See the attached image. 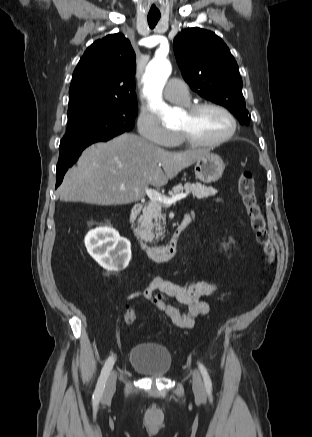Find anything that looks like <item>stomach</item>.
Returning <instances> with one entry per match:
<instances>
[{
  "mask_svg": "<svg viewBox=\"0 0 312 437\" xmlns=\"http://www.w3.org/2000/svg\"><path fill=\"white\" fill-rule=\"evenodd\" d=\"M225 165L222 158L215 153H205L194 166L195 176L204 183H211L222 177Z\"/></svg>",
  "mask_w": 312,
  "mask_h": 437,
  "instance_id": "0dacf381",
  "label": "stomach"
}]
</instances>
